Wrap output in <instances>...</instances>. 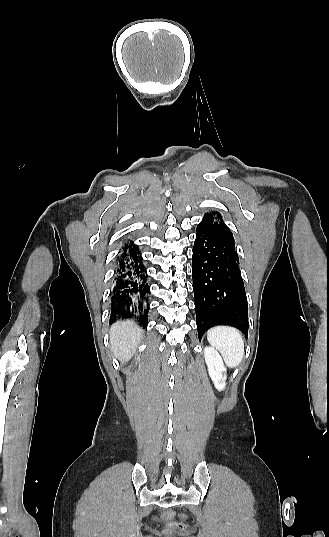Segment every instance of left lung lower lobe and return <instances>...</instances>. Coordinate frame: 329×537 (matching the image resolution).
<instances>
[{
  "label": "left lung lower lobe",
  "instance_id": "obj_1",
  "mask_svg": "<svg viewBox=\"0 0 329 537\" xmlns=\"http://www.w3.org/2000/svg\"><path fill=\"white\" fill-rule=\"evenodd\" d=\"M235 241L200 222L192 255V278L199 339L216 325L248 335V304Z\"/></svg>",
  "mask_w": 329,
  "mask_h": 537
}]
</instances>
